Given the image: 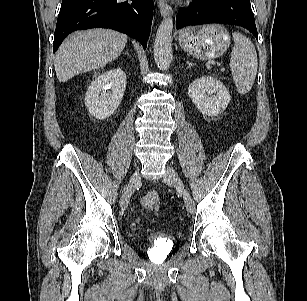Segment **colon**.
<instances>
[{
  "instance_id": "obj_1",
  "label": "colon",
  "mask_w": 307,
  "mask_h": 301,
  "mask_svg": "<svg viewBox=\"0 0 307 301\" xmlns=\"http://www.w3.org/2000/svg\"><path fill=\"white\" fill-rule=\"evenodd\" d=\"M141 206L147 212H158L161 208V201L158 193L155 191L145 193L141 198Z\"/></svg>"
}]
</instances>
